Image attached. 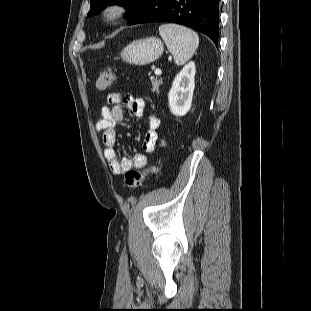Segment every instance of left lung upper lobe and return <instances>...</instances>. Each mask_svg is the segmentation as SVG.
<instances>
[{"label":"left lung upper lobe","mask_w":311,"mask_h":311,"mask_svg":"<svg viewBox=\"0 0 311 311\" xmlns=\"http://www.w3.org/2000/svg\"><path fill=\"white\" fill-rule=\"evenodd\" d=\"M143 0H90V11L87 16H93L105 9L108 5L119 4L125 6L128 12L125 17H128L132 11H134Z\"/></svg>","instance_id":"obj_1"}]
</instances>
